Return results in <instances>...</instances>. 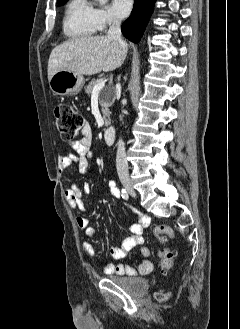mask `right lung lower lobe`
I'll return each instance as SVG.
<instances>
[{
	"mask_svg": "<svg viewBox=\"0 0 240 329\" xmlns=\"http://www.w3.org/2000/svg\"><path fill=\"white\" fill-rule=\"evenodd\" d=\"M155 0H135L131 16L123 23L122 33L129 40L137 43L153 11Z\"/></svg>",
	"mask_w": 240,
	"mask_h": 329,
	"instance_id": "obj_1",
	"label": "right lung lower lobe"
}]
</instances>
